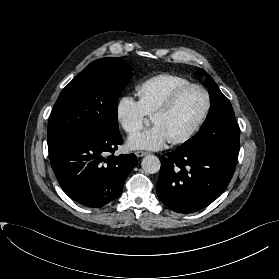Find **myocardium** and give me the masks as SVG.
<instances>
[{
    "label": "myocardium",
    "instance_id": "f54148a6",
    "mask_svg": "<svg viewBox=\"0 0 279 279\" xmlns=\"http://www.w3.org/2000/svg\"><path fill=\"white\" fill-rule=\"evenodd\" d=\"M189 89H199L203 92V94L205 96L204 108H203L201 115L199 116V118L197 119L195 124L189 129L188 132H186L183 136H181L179 138L169 140V142L173 145H180V144H184V143L188 142L201 129L202 125L204 124V122L209 114L210 107H211V98H210V94H209L208 90L204 86H202L200 84H196V83H188V84L182 85V86L176 88L168 96V98L165 100L163 105L152 114V119H154L156 117H160V116H163V115H166L167 113H169L171 111V109L173 108V106L175 105L178 98L181 96V94H183L185 91H187Z\"/></svg>",
    "mask_w": 279,
    "mask_h": 279
}]
</instances>
